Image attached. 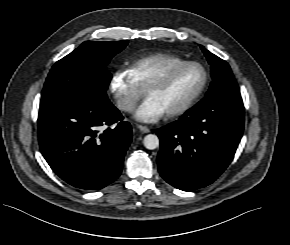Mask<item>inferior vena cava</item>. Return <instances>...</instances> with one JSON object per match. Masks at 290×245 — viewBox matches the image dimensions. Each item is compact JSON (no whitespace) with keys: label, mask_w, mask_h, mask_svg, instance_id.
I'll list each match as a JSON object with an SVG mask.
<instances>
[{"label":"inferior vena cava","mask_w":290,"mask_h":245,"mask_svg":"<svg viewBox=\"0 0 290 245\" xmlns=\"http://www.w3.org/2000/svg\"><path fill=\"white\" fill-rule=\"evenodd\" d=\"M118 107L123 111H133L135 104L132 100L124 97L118 100Z\"/></svg>","instance_id":"1"}]
</instances>
